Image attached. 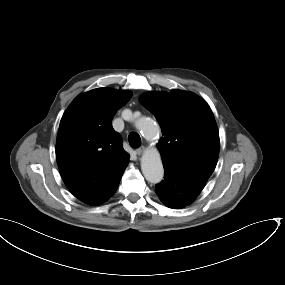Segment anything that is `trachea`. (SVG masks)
Here are the masks:
<instances>
[{"label": "trachea", "instance_id": "3493384b", "mask_svg": "<svg viewBox=\"0 0 285 285\" xmlns=\"http://www.w3.org/2000/svg\"><path fill=\"white\" fill-rule=\"evenodd\" d=\"M128 141L132 148H138L141 145V138L136 132H131L129 134Z\"/></svg>", "mask_w": 285, "mask_h": 285}]
</instances>
